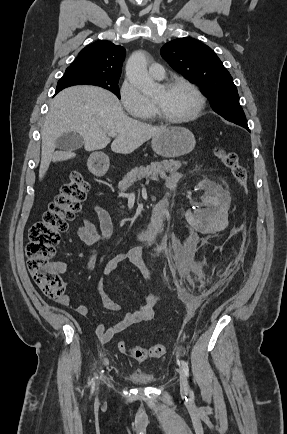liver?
Masks as SVG:
<instances>
[{
  "mask_svg": "<svg viewBox=\"0 0 287 434\" xmlns=\"http://www.w3.org/2000/svg\"><path fill=\"white\" fill-rule=\"evenodd\" d=\"M165 126H152L128 117L119 100L109 91L94 86H75L60 92L50 103L42 128V151L39 169L41 180L50 163L65 161L74 154L55 151L56 140L65 133H78L87 151L105 148L108 132L117 137L112 151L130 154L143 143L159 135Z\"/></svg>",
  "mask_w": 287,
  "mask_h": 434,
  "instance_id": "1",
  "label": "liver"
}]
</instances>
